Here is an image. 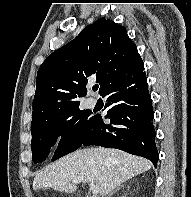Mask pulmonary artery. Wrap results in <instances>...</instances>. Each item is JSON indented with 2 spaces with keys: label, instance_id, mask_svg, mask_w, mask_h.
<instances>
[{
  "label": "pulmonary artery",
  "instance_id": "1",
  "mask_svg": "<svg viewBox=\"0 0 191 197\" xmlns=\"http://www.w3.org/2000/svg\"><path fill=\"white\" fill-rule=\"evenodd\" d=\"M88 103L91 107H94L96 104V100L94 98H89L88 99Z\"/></svg>",
  "mask_w": 191,
  "mask_h": 197
}]
</instances>
